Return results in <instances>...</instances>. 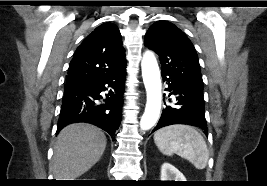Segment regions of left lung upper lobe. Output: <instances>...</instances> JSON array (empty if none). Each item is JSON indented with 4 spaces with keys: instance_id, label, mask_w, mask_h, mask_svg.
I'll list each match as a JSON object with an SVG mask.
<instances>
[{
    "instance_id": "5c2ea615",
    "label": "left lung upper lobe",
    "mask_w": 267,
    "mask_h": 186,
    "mask_svg": "<svg viewBox=\"0 0 267 186\" xmlns=\"http://www.w3.org/2000/svg\"><path fill=\"white\" fill-rule=\"evenodd\" d=\"M144 44L159 55L162 73L203 91L196 50L179 28L170 22L158 21L147 31Z\"/></svg>"
}]
</instances>
